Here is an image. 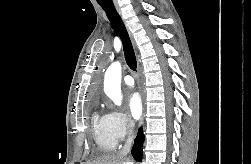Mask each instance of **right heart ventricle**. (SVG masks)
<instances>
[{
  "label": "right heart ventricle",
  "mask_w": 251,
  "mask_h": 164,
  "mask_svg": "<svg viewBox=\"0 0 251 164\" xmlns=\"http://www.w3.org/2000/svg\"><path fill=\"white\" fill-rule=\"evenodd\" d=\"M92 132L99 151L106 153L115 149L117 140L110 131L106 115L93 114Z\"/></svg>",
  "instance_id": "e07e8e85"
}]
</instances>
